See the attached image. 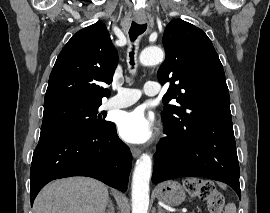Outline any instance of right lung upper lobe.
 <instances>
[{
    "label": "right lung upper lobe",
    "instance_id": "right-lung-upper-lobe-1",
    "mask_svg": "<svg viewBox=\"0 0 270 213\" xmlns=\"http://www.w3.org/2000/svg\"><path fill=\"white\" fill-rule=\"evenodd\" d=\"M118 62L105 24L97 22L75 33L60 52L49 77L44 106L66 100L102 103Z\"/></svg>",
    "mask_w": 270,
    "mask_h": 213
}]
</instances>
